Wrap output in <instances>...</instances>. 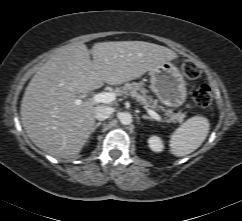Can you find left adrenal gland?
I'll list each match as a JSON object with an SVG mask.
<instances>
[{"label": "left adrenal gland", "instance_id": "a2214340", "mask_svg": "<svg viewBox=\"0 0 242 221\" xmlns=\"http://www.w3.org/2000/svg\"><path fill=\"white\" fill-rule=\"evenodd\" d=\"M142 118H143V119H149V120H153V118H152V117L147 116V115H142Z\"/></svg>", "mask_w": 242, "mask_h": 221}]
</instances>
